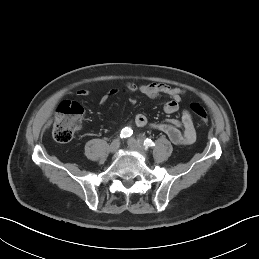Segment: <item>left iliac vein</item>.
Wrapping results in <instances>:
<instances>
[{"instance_id": "1", "label": "left iliac vein", "mask_w": 259, "mask_h": 259, "mask_svg": "<svg viewBox=\"0 0 259 259\" xmlns=\"http://www.w3.org/2000/svg\"><path fill=\"white\" fill-rule=\"evenodd\" d=\"M128 145L130 147V149L132 150H136V151H139L141 153L144 152V148L143 146L141 145V143H139L137 140H135L134 138H130L128 140Z\"/></svg>"}]
</instances>
